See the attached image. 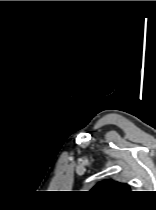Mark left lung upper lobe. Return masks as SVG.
I'll return each mask as SVG.
<instances>
[{
	"mask_svg": "<svg viewBox=\"0 0 156 210\" xmlns=\"http://www.w3.org/2000/svg\"><path fill=\"white\" fill-rule=\"evenodd\" d=\"M93 191L122 194L130 192V188L125 183H119L117 181L112 180H105L101 183H98L93 188Z\"/></svg>",
	"mask_w": 156,
	"mask_h": 210,
	"instance_id": "left-lung-upper-lobe-1",
	"label": "left lung upper lobe"
}]
</instances>
